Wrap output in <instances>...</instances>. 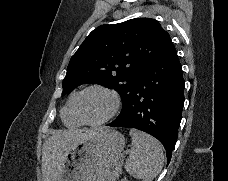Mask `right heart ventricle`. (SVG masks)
I'll return each instance as SVG.
<instances>
[{"instance_id": "right-heart-ventricle-1", "label": "right heart ventricle", "mask_w": 228, "mask_h": 181, "mask_svg": "<svg viewBox=\"0 0 228 181\" xmlns=\"http://www.w3.org/2000/svg\"><path fill=\"white\" fill-rule=\"evenodd\" d=\"M76 96H71L70 100L68 101L66 107L63 110V119L64 122L69 127H77L81 125V120L78 118V116L75 113L74 110V100Z\"/></svg>"}]
</instances>
